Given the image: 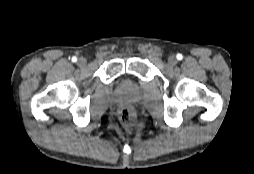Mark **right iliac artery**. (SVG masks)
I'll return each mask as SVG.
<instances>
[{"label": "right iliac artery", "mask_w": 254, "mask_h": 174, "mask_svg": "<svg viewBox=\"0 0 254 174\" xmlns=\"http://www.w3.org/2000/svg\"><path fill=\"white\" fill-rule=\"evenodd\" d=\"M77 58L76 57H72V62H76Z\"/></svg>", "instance_id": "82829eb1"}]
</instances>
